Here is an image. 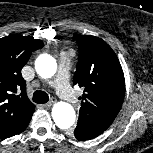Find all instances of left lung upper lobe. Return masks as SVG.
<instances>
[{
	"label": "left lung upper lobe",
	"mask_w": 153,
	"mask_h": 153,
	"mask_svg": "<svg viewBox=\"0 0 153 153\" xmlns=\"http://www.w3.org/2000/svg\"><path fill=\"white\" fill-rule=\"evenodd\" d=\"M73 39L79 47L73 81L84 88L74 135L85 141L103 133L116 118L124 100L125 79L116 54L104 40L78 34Z\"/></svg>",
	"instance_id": "left-lung-upper-lobe-1"
}]
</instances>
